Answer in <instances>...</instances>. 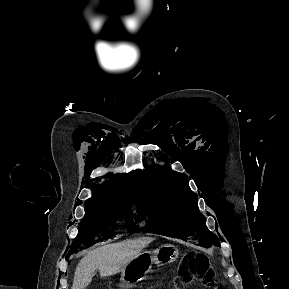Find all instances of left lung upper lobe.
Here are the masks:
<instances>
[{
  "mask_svg": "<svg viewBox=\"0 0 289 289\" xmlns=\"http://www.w3.org/2000/svg\"><path fill=\"white\" fill-rule=\"evenodd\" d=\"M139 178L138 217L146 221L145 232L192 240L207 248L220 245L205 225L186 175L169 167L151 166L140 172Z\"/></svg>",
  "mask_w": 289,
  "mask_h": 289,
  "instance_id": "1",
  "label": "left lung upper lobe"
}]
</instances>
